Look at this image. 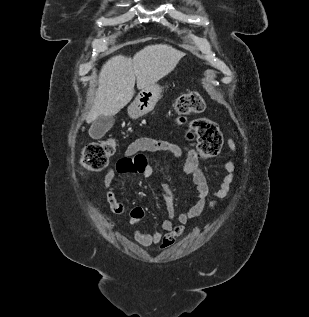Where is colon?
I'll list each match as a JSON object with an SVG mask.
<instances>
[{
  "label": "colon",
  "mask_w": 309,
  "mask_h": 317,
  "mask_svg": "<svg viewBox=\"0 0 309 317\" xmlns=\"http://www.w3.org/2000/svg\"><path fill=\"white\" fill-rule=\"evenodd\" d=\"M205 101L196 92L180 95L175 102V111L180 115L197 114L204 110ZM197 137V154L202 158L216 156L222 147L223 137L217 124L208 118H198L192 122ZM115 152V141L112 138L88 143L81 157V166L88 171L103 170Z\"/></svg>",
  "instance_id": "colon-1"
}]
</instances>
